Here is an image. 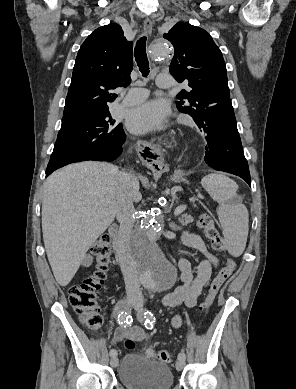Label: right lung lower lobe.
<instances>
[{
	"label": "right lung lower lobe",
	"mask_w": 296,
	"mask_h": 389,
	"mask_svg": "<svg viewBox=\"0 0 296 389\" xmlns=\"http://www.w3.org/2000/svg\"><path fill=\"white\" fill-rule=\"evenodd\" d=\"M125 138H126V136H125V133H124V138H123L122 144L124 143ZM122 144L114 147L112 150H100V151H95V152L84 154L79 159L74 160V161H72L70 163L80 162V161H87V160L113 161L121 154V152H122ZM70 163H62V164H59V165L54 166L52 168H47L46 169V176L51 174L54 170H56V169H58L60 167H63L65 165H67V164H70Z\"/></svg>",
	"instance_id": "right-lung-lower-lobe-1"
}]
</instances>
